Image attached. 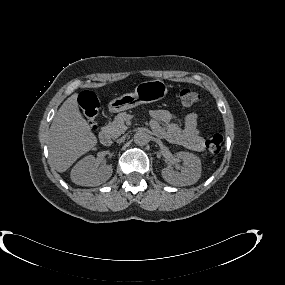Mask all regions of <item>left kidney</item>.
Listing matches in <instances>:
<instances>
[{
	"label": "left kidney",
	"instance_id": "1",
	"mask_svg": "<svg viewBox=\"0 0 285 285\" xmlns=\"http://www.w3.org/2000/svg\"><path fill=\"white\" fill-rule=\"evenodd\" d=\"M176 158L178 161L184 162V167L181 168V172L164 168L162 170L164 180L175 186H187L196 183L201 176L200 158L189 152H178Z\"/></svg>",
	"mask_w": 285,
	"mask_h": 285
}]
</instances>
